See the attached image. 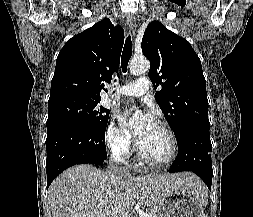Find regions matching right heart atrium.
Returning <instances> with one entry per match:
<instances>
[{
	"instance_id": "d8ad5b80",
	"label": "right heart atrium",
	"mask_w": 253,
	"mask_h": 217,
	"mask_svg": "<svg viewBox=\"0 0 253 217\" xmlns=\"http://www.w3.org/2000/svg\"><path fill=\"white\" fill-rule=\"evenodd\" d=\"M106 140L110 150L118 159L124 160L130 155L132 149L131 135L114 121H111L108 126Z\"/></svg>"
}]
</instances>
